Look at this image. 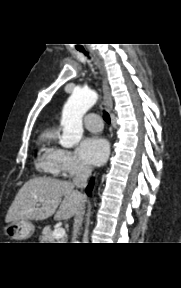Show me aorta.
I'll return each mask as SVG.
<instances>
[{
	"label": "aorta",
	"instance_id": "762f6f07",
	"mask_svg": "<svg viewBox=\"0 0 181 288\" xmlns=\"http://www.w3.org/2000/svg\"><path fill=\"white\" fill-rule=\"evenodd\" d=\"M96 101L97 94L92 90L73 91L62 111L63 133L60 144L63 147L70 148L79 143L83 135L82 118Z\"/></svg>",
	"mask_w": 181,
	"mask_h": 288
}]
</instances>
